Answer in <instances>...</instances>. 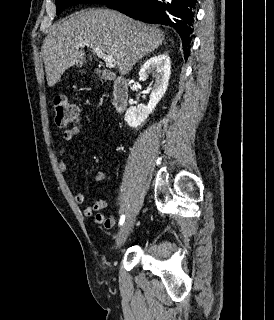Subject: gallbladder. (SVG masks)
Here are the masks:
<instances>
[{
    "instance_id": "gallbladder-1",
    "label": "gallbladder",
    "mask_w": 274,
    "mask_h": 320,
    "mask_svg": "<svg viewBox=\"0 0 274 320\" xmlns=\"http://www.w3.org/2000/svg\"><path fill=\"white\" fill-rule=\"evenodd\" d=\"M113 73L112 72H101L100 76L98 77V80L100 82H103L105 79H112Z\"/></svg>"
}]
</instances>
